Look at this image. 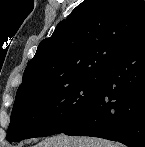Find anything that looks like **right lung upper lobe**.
Returning <instances> with one entry per match:
<instances>
[{
    "instance_id": "right-lung-upper-lobe-1",
    "label": "right lung upper lobe",
    "mask_w": 145,
    "mask_h": 147,
    "mask_svg": "<svg viewBox=\"0 0 145 147\" xmlns=\"http://www.w3.org/2000/svg\"><path fill=\"white\" fill-rule=\"evenodd\" d=\"M143 36L144 0H84L40 42L17 94L56 90L79 77L101 73Z\"/></svg>"
}]
</instances>
